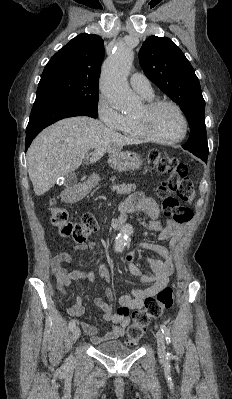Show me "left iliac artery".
I'll use <instances>...</instances> for the list:
<instances>
[{"label":"left iliac artery","instance_id":"44dca946","mask_svg":"<svg viewBox=\"0 0 232 399\" xmlns=\"http://www.w3.org/2000/svg\"><path fill=\"white\" fill-rule=\"evenodd\" d=\"M160 328H161V331H162V333H163V335H164V337L166 339L167 344H170L171 343L170 330L165 325H161ZM171 357H172V354L170 352H167L166 358L168 359V358H171Z\"/></svg>","mask_w":232,"mask_h":399}]
</instances>
